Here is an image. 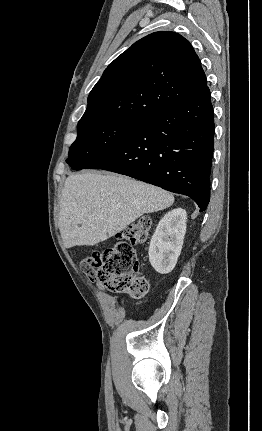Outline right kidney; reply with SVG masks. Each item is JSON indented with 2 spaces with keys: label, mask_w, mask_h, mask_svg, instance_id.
<instances>
[{
  "label": "right kidney",
  "mask_w": 262,
  "mask_h": 431,
  "mask_svg": "<svg viewBox=\"0 0 262 431\" xmlns=\"http://www.w3.org/2000/svg\"><path fill=\"white\" fill-rule=\"evenodd\" d=\"M187 213L176 208L160 220L149 247V261L152 267L161 274L171 272L181 253L186 232Z\"/></svg>",
  "instance_id": "1"
}]
</instances>
